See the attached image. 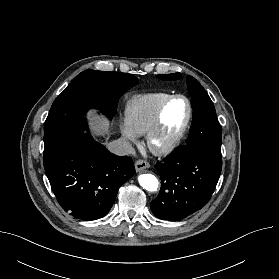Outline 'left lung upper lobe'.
Here are the masks:
<instances>
[{"label":"left lung upper lobe","instance_id":"left-lung-upper-lobe-1","mask_svg":"<svg viewBox=\"0 0 279 279\" xmlns=\"http://www.w3.org/2000/svg\"><path fill=\"white\" fill-rule=\"evenodd\" d=\"M162 80H177L180 73L158 75ZM187 87L191 95L193 120L186 144L205 149L216 156L221 155V126L213 102L202 85L192 76H187Z\"/></svg>","mask_w":279,"mask_h":279}]
</instances>
